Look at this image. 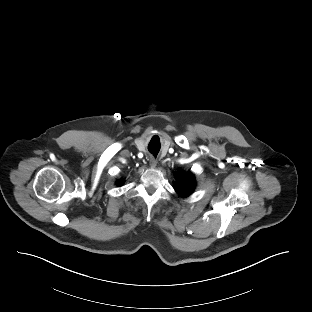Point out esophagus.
<instances>
[{
	"label": "esophagus",
	"mask_w": 312,
	"mask_h": 312,
	"mask_svg": "<svg viewBox=\"0 0 312 312\" xmlns=\"http://www.w3.org/2000/svg\"><path fill=\"white\" fill-rule=\"evenodd\" d=\"M149 164L151 167H155L157 165V159H155L154 157H151Z\"/></svg>",
	"instance_id": "obj_1"
}]
</instances>
